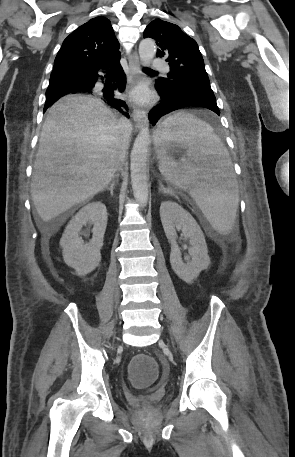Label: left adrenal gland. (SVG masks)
<instances>
[{
	"label": "left adrenal gland",
	"mask_w": 295,
	"mask_h": 457,
	"mask_svg": "<svg viewBox=\"0 0 295 457\" xmlns=\"http://www.w3.org/2000/svg\"><path fill=\"white\" fill-rule=\"evenodd\" d=\"M159 193H163V194H170L169 191L164 187V185L162 184V182L159 180Z\"/></svg>",
	"instance_id": "a2214340"
}]
</instances>
